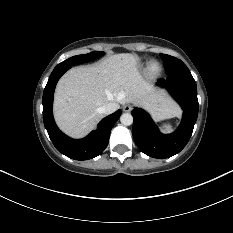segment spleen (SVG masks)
I'll return each instance as SVG.
<instances>
[{"instance_id": "1", "label": "spleen", "mask_w": 233, "mask_h": 233, "mask_svg": "<svg viewBox=\"0 0 233 233\" xmlns=\"http://www.w3.org/2000/svg\"><path fill=\"white\" fill-rule=\"evenodd\" d=\"M161 129L163 132L167 133V132H170L171 131V125L170 124H163L161 126Z\"/></svg>"}]
</instances>
